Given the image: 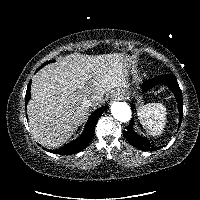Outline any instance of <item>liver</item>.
Instances as JSON below:
<instances>
[{"mask_svg":"<svg viewBox=\"0 0 200 200\" xmlns=\"http://www.w3.org/2000/svg\"><path fill=\"white\" fill-rule=\"evenodd\" d=\"M131 65V57L123 53H75L42 68L33 76L27 106L34 139L50 148L65 144L88 115L84 97L96 107L105 93L128 87Z\"/></svg>","mask_w":200,"mask_h":200,"instance_id":"6515ba94","label":"liver"}]
</instances>
